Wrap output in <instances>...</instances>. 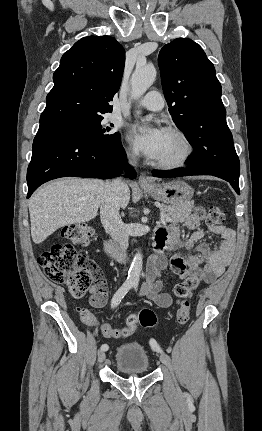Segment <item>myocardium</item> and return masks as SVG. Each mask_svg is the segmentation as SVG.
I'll return each instance as SVG.
<instances>
[{"instance_id":"1","label":"myocardium","mask_w":262,"mask_h":431,"mask_svg":"<svg viewBox=\"0 0 262 431\" xmlns=\"http://www.w3.org/2000/svg\"><path fill=\"white\" fill-rule=\"evenodd\" d=\"M166 133L172 135L181 145V151L177 157L171 160L154 161L153 164L160 169H177L184 167L191 159L194 148L189 137L180 129L167 127Z\"/></svg>"}]
</instances>
